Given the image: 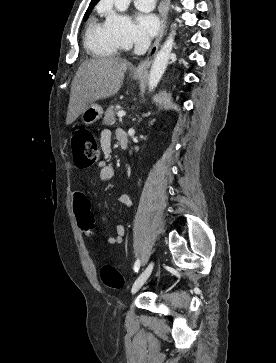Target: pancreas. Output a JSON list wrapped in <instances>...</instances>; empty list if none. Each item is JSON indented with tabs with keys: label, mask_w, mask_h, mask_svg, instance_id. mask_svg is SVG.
I'll list each match as a JSON object with an SVG mask.
<instances>
[{
	"label": "pancreas",
	"mask_w": 276,
	"mask_h": 363,
	"mask_svg": "<svg viewBox=\"0 0 276 363\" xmlns=\"http://www.w3.org/2000/svg\"><path fill=\"white\" fill-rule=\"evenodd\" d=\"M115 113H114V107L110 106L107 108L102 123L104 125H113L115 123Z\"/></svg>",
	"instance_id": "1"
}]
</instances>
